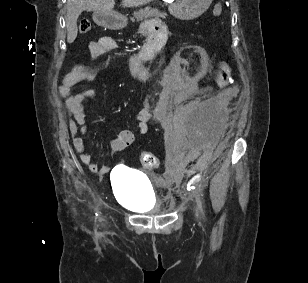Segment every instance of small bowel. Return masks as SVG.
I'll use <instances>...</instances> for the list:
<instances>
[{
    "mask_svg": "<svg viewBox=\"0 0 308 283\" xmlns=\"http://www.w3.org/2000/svg\"><path fill=\"white\" fill-rule=\"evenodd\" d=\"M163 31L165 29L162 23L158 20H149L142 26V32L147 37L148 41L152 38L155 32ZM117 48V43L111 37H101L96 41H92L88 45L89 53L92 57L98 58L105 54L114 52ZM141 55H132L128 58L126 63V71L134 79L147 81L151 75L149 71L142 64ZM96 73L94 70L78 66L66 73L62 79L59 87L60 93L66 98L68 111L71 115L69 120V129L73 137V147L78 152L80 160L93 173L106 174L110 168L108 166L98 167L93 161L90 154L86 151L85 142L82 137L78 136L79 132L85 133L87 131L84 102L89 98L95 96V92L91 89H84L76 94L71 93V88L81 82H95ZM186 96L183 93H166L161 96L156 108L153 110L150 107H145L140 110L136 116L137 132L141 135L148 133L149 122L152 117L159 120L166 119L169 110L172 106H176L185 100ZM134 141V133L129 129L121 130L118 135L113 138L109 145L110 148L119 152L131 145Z\"/></svg>",
    "mask_w": 308,
    "mask_h": 283,
    "instance_id": "c3829d8e",
    "label": "small bowel"
}]
</instances>
